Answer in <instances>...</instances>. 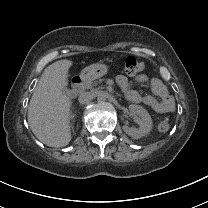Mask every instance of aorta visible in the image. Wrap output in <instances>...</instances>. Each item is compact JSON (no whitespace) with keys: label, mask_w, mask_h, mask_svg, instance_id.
<instances>
[{"label":"aorta","mask_w":208,"mask_h":208,"mask_svg":"<svg viewBox=\"0 0 208 208\" xmlns=\"http://www.w3.org/2000/svg\"><path fill=\"white\" fill-rule=\"evenodd\" d=\"M97 100L99 103H104L106 100V97H105V95L100 94V95H98Z\"/></svg>","instance_id":"aorta-1"}]
</instances>
